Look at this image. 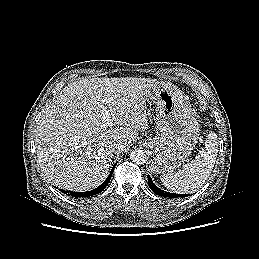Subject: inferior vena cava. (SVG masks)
Returning <instances> with one entry per match:
<instances>
[{
    "instance_id": "602c4592",
    "label": "inferior vena cava",
    "mask_w": 259,
    "mask_h": 259,
    "mask_svg": "<svg viewBox=\"0 0 259 259\" xmlns=\"http://www.w3.org/2000/svg\"><path fill=\"white\" fill-rule=\"evenodd\" d=\"M110 148H111L112 152H114V153L118 152V150H120V148H121V144L113 143V144H111Z\"/></svg>"
}]
</instances>
